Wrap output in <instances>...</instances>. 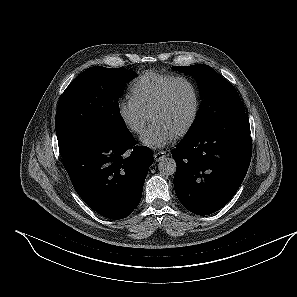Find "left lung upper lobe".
<instances>
[{
    "label": "left lung upper lobe",
    "instance_id": "left-lung-upper-lobe-1",
    "mask_svg": "<svg viewBox=\"0 0 297 297\" xmlns=\"http://www.w3.org/2000/svg\"><path fill=\"white\" fill-rule=\"evenodd\" d=\"M197 80L202 102L190 133L223 120L239 112H245L243 103L235 88L210 66L197 64L173 66Z\"/></svg>",
    "mask_w": 297,
    "mask_h": 297
}]
</instances>
